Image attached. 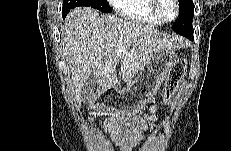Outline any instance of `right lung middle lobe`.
Listing matches in <instances>:
<instances>
[{"label":"right lung middle lobe","instance_id":"obj_1","mask_svg":"<svg viewBox=\"0 0 231 151\" xmlns=\"http://www.w3.org/2000/svg\"><path fill=\"white\" fill-rule=\"evenodd\" d=\"M79 6L92 7L105 13L111 12V8L106 0H64L63 9L70 11Z\"/></svg>","mask_w":231,"mask_h":151}]
</instances>
